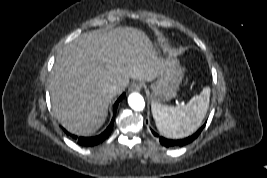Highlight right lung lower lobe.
Segmentation results:
<instances>
[{
  "label": "right lung lower lobe",
  "mask_w": 267,
  "mask_h": 178,
  "mask_svg": "<svg viewBox=\"0 0 267 178\" xmlns=\"http://www.w3.org/2000/svg\"><path fill=\"white\" fill-rule=\"evenodd\" d=\"M125 97V93H123L120 98L115 102L114 106H113V112L115 113L116 112V109H117V106L119 104V102ZM113 123H114V118H112V121L110 123V125L107 127V129L101 133L100 135L98 136H95V137H77V136H74V135H71L70 136L77 140L78 143L82 146H94V145H97L99 144L100 142L104 141L111 133L112 131V128H113ZM66 134L68 135L69 133L66 131Z\"/></svg>",
  "instance_id": "1"
}]
</instances>
